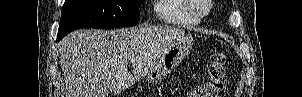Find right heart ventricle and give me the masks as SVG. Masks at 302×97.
Returning <instances> with one entry per match:
<instances>
[{
  "mask_svg": "<svg viewBox=\"0 0 302 97\" xmlns=\"http://www.w3.org/2000/svg\"><path fill=\"white\" fill-rule=\"evenodd\" d=\"M157 17L168 25L192 26L199 23L187 9L184 0H158L155 5Z\"/></svg>",
  "mask_w": 302,
  "mask_h": 97,
  "instance_id": "right-heart-ventricle-1",
  "label": "right heart ventricle"
}]
</instances>
